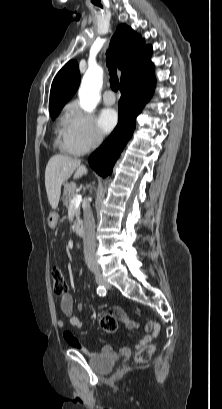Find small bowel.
<instances>
[{"label": "small bowel", "mask_w": 222, "mask_h": 409, "mask_svg": "<svg viewBox=\"0 0 222 409\" xmlns=\"http://www.w3.org/2000/svg\"><path fill=\"white\" fill-rule=\"evenodd\" d=\"M60 308L64 316L68 319L69 324L76 329L81 328L82 323L81 320L73 314V298L70 293H66L61 297L60 300ZM78 309L82 310V305H78ZM110 318L116 323L117 318H120L124 321H126V324L128 327H133L134 325L127 322V318L125 313L121 309H116L115 311V316H110ZM57 326L60 329L65 328V322L62 319L57 320ZM148 329H150V333L146 334L142 339L138 341V343L135 345V349H140L146 344L152 342L158 335L160 331V325L156 322H151L147 325ZM63 337L65 342L72 348L78 349L82 351L84 354L89 355V356H96L97 352L93 351L87 347H84L81 345L79 342L78 338L71 332L69 331H64ZM110 347L105 346L102 348V351H108ZM120 354L122 355H129L131 353V349L129 347H121L119 349Z\"/></svg>", "instance_id": "small-bowel-1"}]
</instances>
